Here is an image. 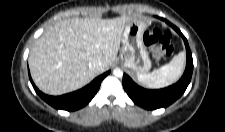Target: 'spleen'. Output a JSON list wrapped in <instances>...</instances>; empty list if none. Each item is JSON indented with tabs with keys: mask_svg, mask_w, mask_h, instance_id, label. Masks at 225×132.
Segmentation results:
<instances>
[{
	"mask_svg": "<svg viewBox=\"0 0 225 132\" xmlns=\"http://www.w3.org/2000/svg\"><path fill=\"white\" fill-rule=\"evenodd\" d=\"M185 53L180 52L172 60L159 69L148 74H138V81L145 87L160 89L176 82L183 73L185 66Z\"/></svg>",
	"mask_w": 225,
	"mask_h": 132,
	"instance_id": "1",
	"label": "spleen"
}]
</instances>
